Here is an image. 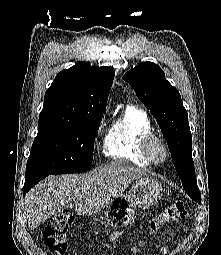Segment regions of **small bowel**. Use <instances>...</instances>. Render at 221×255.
Instances as JSON below:
<instances>
[{"label":"small bowel","instance_id":"1","mask_svg":"<svg viewBox=\"0 0 221 255\" xmlns=\"http://www.w3.org/2000/svg\"><path fill=\"white\" fill-rule=\"evenodd\" d=\"M119 237L118 233H113L112 235L109 236L108 241L109 242H114L117 238ZM137 252V247L133 248L132 253Z\"/></svg>","mask_w":221,"mask_h":255}]
</instances>
